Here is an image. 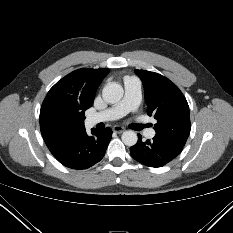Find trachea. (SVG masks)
<instances>
[{
    "label": "trachea",
    "instance_id": "1",
    "mask_svg": "<svg viewBox=\"0 0 233 233\" xmlns=\"http://www.w3.org/2000/svg\"><path fill=\"white\" fill-rule=\"evenodd\" d=\"M147 125H142V124H138V125H136V129L137 130H141V129H143L144 127H146Z\"/></svg>",
    "mask_w": 233,
    "mask_h": 233
}]
</instances>
